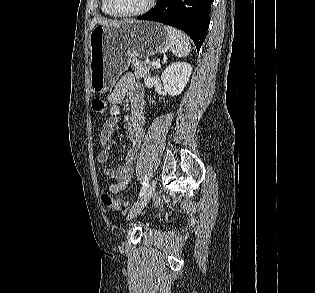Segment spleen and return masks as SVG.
Here are the masks:
<instances>
[{
    "instance_id": "spleen-1",
    "label": "spleen",
    "mask_w": 315,
    "mask_h": 293,
    "mask_svg": "<svg viewBox=\"0 0 315 293\" xmlns=\"http://www.w3.org/2000/svg\"><path fill=\"white\" fill-rule=\"evenodd\" d=\"M169 37V48L173 55L177 57H186L191 51V44L188 37L180 30L166 25L164 27Z\"/></svg>"
}]
</instances>
